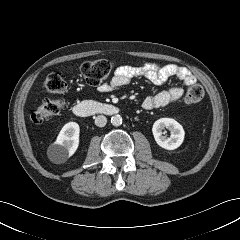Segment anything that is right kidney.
Listing matches in <instances>:
<instances>
[{
  "mask_svg": "<svg viewBox=\"0 0 240 240\" xmlns=\"http://www.w3.org/2000/svg\"><path fill=\"white\" fill-rule=\"evenodd\" d=\"M80 127L76 122H68L61 129L50 147L53 161L62 163L72 156L79 146Z\"/></svg>",
  "mask_w": 240,
  "mask_h": 240,
  "instance_id": "1",
  "label": "right kidney"
}]
</instances>
